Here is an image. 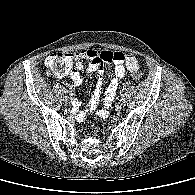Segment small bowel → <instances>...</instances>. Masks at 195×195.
<instances>
[{
  "mask_svg": "<svg viewBox=\"0 0 195 195\" xmlns=\"http://www.w3.org/2000/svg\"><path fill=\"white\" fill-rule=\"evenodd\" d=\"M67 55L70 57L71 62L69 76L75 86L82 83V74L84 72H96L99 74L90 102L84 108V111H76L77 118L83 119L90 113H96L101 118L108 117L110 107L117 93L119 82L126 70L130 72L138 70L137 58L122 52L94 49L81 50L78 53H68ZM85 61L87 62V66L84 64ZM105 73L109 77V84L104 92L102 106L98 108L101 87L104 82L103 75ZM76 105L80 106V103L77 102Z\"/></svg>",
  "mask_w": 195,
  "mask_h": 195,
  "instance_id": "c3829d8e",
  "label": "small bowel"
}]
</instances>
